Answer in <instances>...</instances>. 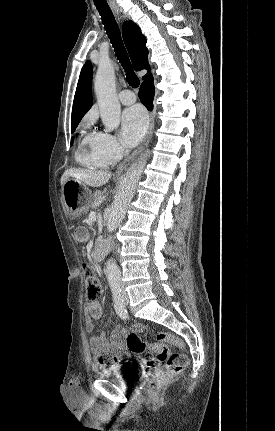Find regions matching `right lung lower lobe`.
<instances>
[{
	"label": "right lung lower lobe",
	"instance_id": "right-lung-lower-lobe-1",
	"mask_svg": "<svg viewBox=\"0 0 275 431\" xmlns=\"http://www.w3.org/2000/svg\"><path fill=\"white\" fill-rule=\"evenodd\" d=\"M154 93V80L153 76L150 75L142 83L138 94L141 102L147 107L148 110H152L153 108Z\"/></svg>",
	"mask_w": 275,
	"mask_h": 431
}]
</instances>
